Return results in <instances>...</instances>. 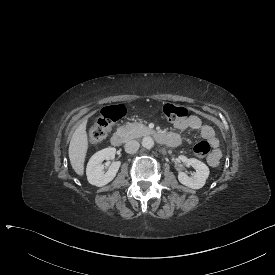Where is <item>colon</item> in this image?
Masks as SVG:
<instances>
[{
	"mask_svg": "<svg viewBox=\"0 0 275 275\" xmlns=\"http://www.w3.org/2000/svg\"><path fill=\"white\" fill-rule=\"evenodd\" d=\"M164 119L168 122L184 119L188 116L189 110L184 106L165 103L162 107ZM125 113L124 106L120 103L105 106L95 117L90 125L89 140L92 145H98L105 139L111 125L122 119ZM193 150L198 157H205L209 154L211 146L208 141L197 142Z\"/></svg>",
	"mask_w": 275,
	"mask_h": 275,
	"instance_id": "1",
	"label": "colon"
}]
</instances>
